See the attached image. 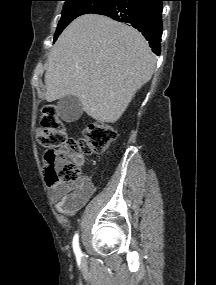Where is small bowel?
Here are the masks:
<instances>
[{
  "mask_svg": "<svg viewBox=\"0 0 216 285\" xmlns=\"http://www.w3.org/2000/svg\"><path fill=\"white\" fill-rule=\"evenodd\" d=\"M84 159L80 156L78 164L82 165ZM95 192L94 185L84 180L76 186L67 183H57L50 185V193L56 201V207L59 212L73 215L79 211L91 198Z\"/></svg>",
  "mask_w": 216,
  "mask_h": 285,
  "instance_id": "small-bowel-1",
  "label": "small bowel"
}]
</instances>
